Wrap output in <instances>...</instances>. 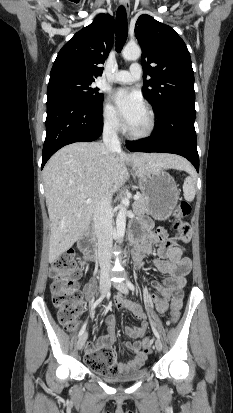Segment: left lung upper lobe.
Listing matches in <instances>:
<instances>
[{
  "label": "left lung upper lobe",
  "instance_id": "5c2ea615",
  "mask_svg": "<svg viewBox=\"0 0 233 413\" xmlns=\"http://www.w3.org/2000/svg\"><path fill=\"white\" fill-rule=\"evenodd\" d=\"M142 47L143 90L156 113L182 106L195 110L194 73L189 51L176 31L143 14L135 25Z\"/></svg>",
  "mask_w": 233,
  "mask_h": 413
}]
</instances>
